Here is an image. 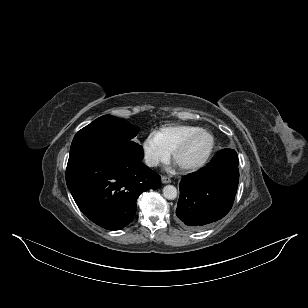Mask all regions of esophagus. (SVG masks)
Masks as SVG:
<instances>
[{"instance_id": "1", "label": "esophagus", "mask_w": 308, "mask_h": 308, "mask_svg": "<svg viewBox=\"0 0 308 308\" xmlns=\"http://www.w3.org/2000/svg\"><path fill=\"white\" fill-rule=\"evenodd\" d=\"M161 181H162L163 184L171 183V179L167 176H162Z\"/></svg>"}]
</instances>
